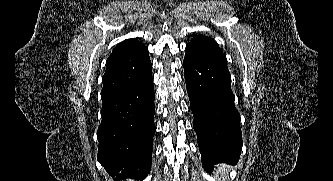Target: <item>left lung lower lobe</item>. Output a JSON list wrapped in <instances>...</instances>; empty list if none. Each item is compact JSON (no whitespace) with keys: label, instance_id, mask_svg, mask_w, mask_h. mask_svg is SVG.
<instances>
[{"label":"left lung lower lobe","instance_id":"left-lung-lower-lobe-1","mask_svg":"<svg viewBox=\"0 0 333 181\" xmlns=\"http://www.w3.org/2000/svg\"><path fill=\"white\" fill-rule=\"evenodd\" d=\"M183 64L204 169L212 171L222 162L235 165L242 137L227 65L188 46Z\"/></svg>","mask_w":333,"mask_h":181}]
</instances>
